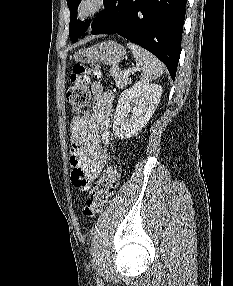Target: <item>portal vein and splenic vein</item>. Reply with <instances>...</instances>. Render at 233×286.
<instances>
[{
    "instance_id": "1",
    "label": "portal vein and splenic vein",
    "mask_w": 233,
    "mask_h": 286,
    "mask_svg": "<svg viewBox=\"0 0 233 286\" xmlns=\"http://www.w3.org/2000/svg\"><path fill=\"white\" fill-rule=\"evenodd\" d=\"M129 75H130V71L129 70L124 71V76L125 77H129Z\"/></svg>"
}]
</instances>
